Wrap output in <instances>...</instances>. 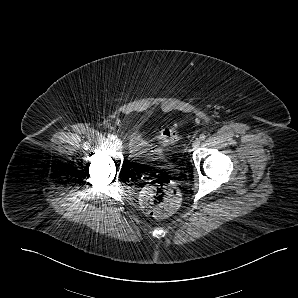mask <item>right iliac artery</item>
Segmentation results:
<instances>
[{"mask_svg":"<svg viewBox=\"0 0 298 298\" xmlns=\"http://www.w3.org/2000/svg\"><path fill=\"white\" fill-rule=\"evenodd\" d=\"M109 139H110L111 141H114V140L116 139V136H114V135H110V136H109Z\"/></svg>","mask_w":298,"mask_h":298,"instance_id":"1","label":"right iliac artery"}]
</instances>
